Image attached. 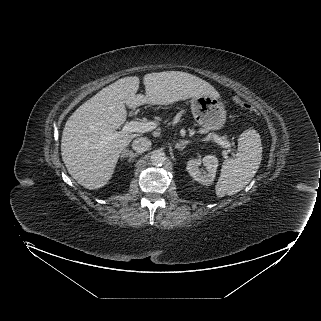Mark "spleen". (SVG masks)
Masks as SVG:
<instances>
[{"label":"spleen","instance_id":"1","mask_svg":"<svg viewBox=\"0 0 321 321\" xmlns=\"http://www.w3.org/2000/svg\"><path fill=\"white\" fill-rule=\"evenodd\" d=\"M262 159V144L255 129L245 130L238 139L236 157L224 160L216 185V195H234L255 176Z\"/></svg>","mask_w":321,"mask_h":321}]
</instances>
